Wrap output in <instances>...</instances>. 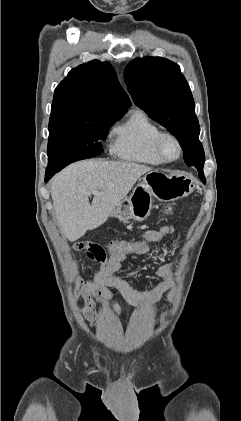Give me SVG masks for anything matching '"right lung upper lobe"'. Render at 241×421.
I'll return each instance as SVG.
<instances>
[{
  "instance_id": "right-lung-upper-lobe-1",
  "label": "right lung upper lobe",
  "mask_w": 241,
  "mask_h": 421,
  "mask_svg": "<svg viewBox=\"0 0 241 421\" xmlns=\"http://www.w3.org/2000/svg\"><path fill=\"white\" fill-rule=\"evenodd\" d=\"M130 105L111 64L93 60L72 69L56 87L51 116L122 117Z\"/></svg>"
}]
</instances>
